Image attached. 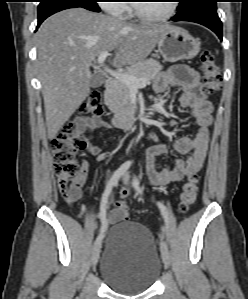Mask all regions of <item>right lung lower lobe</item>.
Returning a JSON list of instances; mask_svg holds the SVG:
<instances>
[{
	"label": "right lung lower lobe",
	"instance_id": "obj_1",
	"mask_svg": "<svg viewBox=\"0 0 248 299\" xmlns=\"http://www.w3.org/2000/svg\"><path fill=\"white\" fill-rule=\"evenodd\" d=\"M75 7H80V6H76V5H61V6H57V7L53 8V9H51V10H48V11L44 12L43 14H41V15L38 16V26H37V28L50 15H52V14H54L56 12H59L61 10H64V9L75 8Z\"/></svg>",
	"mask_w": 248,
	"mask_h": 299
}]
</instances>
